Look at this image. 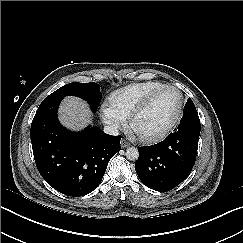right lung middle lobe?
<instances>
[{
  "instance_id": "right-lung-middle-lobe-1",
  "label": "right lung middle lobe",
  "mask_w": 243,
  "mask_h": 243,
  "mask_svg": "<svg viewBox=\"0 0 243 243\" xmlns=\"http://www.w3.org/2000/svg\"><path fill=\"white\" fill-rule=\"evenodd\" d=\"M65 96H78L89 103L93 112L98 108L99 103L101 102L102 95L100 93V85L94 82L91 83H69L49 96H47L43 102L63 99Z\"/></svg>"
}]
</instances>
